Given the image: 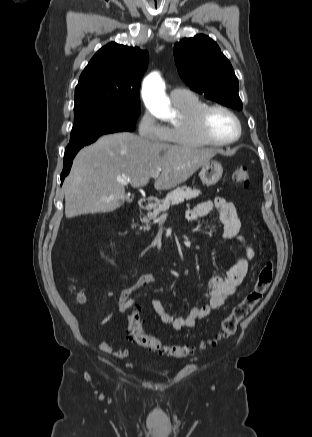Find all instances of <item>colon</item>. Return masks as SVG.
Wrapping results in <instances>:
<instances>
[{"mask_svg": "<svg viewBox=\"0 0 312 437\" xmlns=\"http://www.w3.org/2000/svg\"><path fill=\"white\" fill-rule=\"evenodd\" d=\"M232 179L235 183L247 188L250 184L249 171L246 166H238L233 170ZM274 274V265L267 260L261 267L256 282L244 298L232 309L230 314L223 320L220 331L212 338L200 342L197 346L190 345H166L158 338L147 335L143 332V319L139 310H134L128 315V332L130 340L142 347L167 354L172 357H186L195 349H203L231 337L236 328L244 318L260 302L263 294L270 286Z\"/></svg>", "mask_w": 312, "mask_h": 437, "instance_id": "5ec220e1", "label": "colon"}]
</instances>
